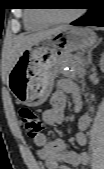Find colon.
Here are the masks:
<instances>
[{"label":"colon","instance_id":"5ec220e1","mask_svg":"<svg viewBox=\"0 0 104 169\" xmlns=\"http://www.w3.org/2000/svg\"><path fill=\"white\" fill-rule=\"evenodd\" d=\"M18 117L26 134L30 138H36L41 135L43 121L36 112L29 108H21L18 112Z\"/></svg>","mask_w":104,"mask_h":169}]
</instances>
